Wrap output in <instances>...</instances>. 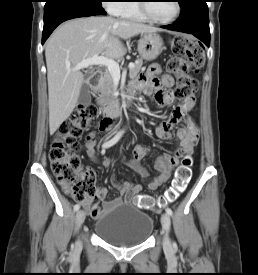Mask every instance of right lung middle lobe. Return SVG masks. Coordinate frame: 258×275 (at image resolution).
I'll list each match as a JSON object with an SVG mask.
<instances>
[{
    "mask_svg": "<svg viewBox=\"0 0 258 275\" xmlns=\"http://www.w3.org/2000/svg\"><path fill=\"white\" fill-rule=\"evenodd\" d=\"M51 1H53V0H48L46 3H49ZM89 1L93 2V3H96V4H99V5H101V2H102V0H89Z\"/></svg>",
    "mask_w": 258,
    "mask_h": 275,
    "instance_id": "right-lung-middle-lobe-1",
    "label": "right lung middle lobe"
}]
</instances>
